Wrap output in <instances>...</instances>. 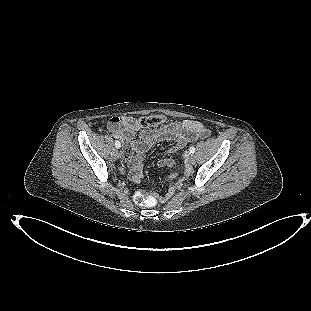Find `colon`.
<instances>
[{"label": "colon", "mask_w": 311, "mask_h": 311, "mask_svg": "<svg viewBox=\"0 0 311 311\" xmlns=\"http://www.w3.org/2000/svg\"><path fill=\"white\" fill-rule=\"evenodd\" d=\"M165 121V117L159 114L149 115L139 119V124L142 127H156L161 125ZM119 123L114 122L113 127L118 128ZM167 166H173V163H169ZM135 201L138 205L144 207H153L158 204L160 198L153 192H139L135 196Z\"/></svg>", "instance_id": "obj_1"}]
</instances>
